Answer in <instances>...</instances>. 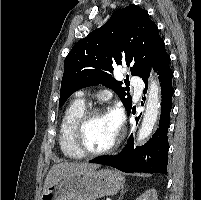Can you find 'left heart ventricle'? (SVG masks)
Returning <instances> with one entry per match:
<instances>
[{"label":"left heart ventricle","mask_w":201,"mask_h":200,"mask_svg":"<svg viewBox=\"0 0 201 200\" xmlns=\"http://www.w3.org/2000/svg\"><path fill=\"white\" fill-rule=\"evenodd\" d=\"M117 133L107 114L96 115L86 124L83 132L84 145L90 150H100L109 146Z\"/></svg>","instance_id":"left-heart-ventricle-1"}]
</instances>
